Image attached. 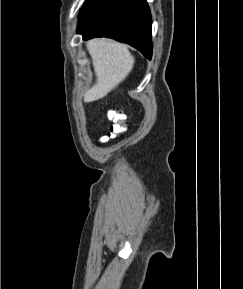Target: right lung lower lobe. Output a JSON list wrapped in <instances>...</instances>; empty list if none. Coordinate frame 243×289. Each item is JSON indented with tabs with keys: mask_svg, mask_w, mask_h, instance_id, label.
Listing matches in <instances>:
<instances>
[{
	"mask_svg": "<svg viewBox=\"0 0 243 289\" xmlns=\"http://www.w3.org/2000/svg\"><path fill=\"white\" fill-rule=\"evenodd\" d=\"M77 33L83 39L109 37L152 56L151 14L146 0H86Z\"/></svg>",
	"mask_w": 243,
	"mask_h": 289,
	"instance_id": "98d812e1",
	"label": "right lung lower lobe"
}]
</instances>
